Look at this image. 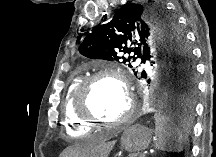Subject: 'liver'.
Masks as SVG:
<instances>
[{
	"label": "liver",
	"instance_id": "6515ba94",
	"mask_svg": "<svg viewBox=\"0 0 216 157\" xmlns=\"http://www.w3.org/2000/svg\"><path fill=\"white\" fill-rule=\"evenodd\" d=\"M110 144L104 140L89 141L84 144H76L68 147L60 154V157H104L108 155Z\"/></svg>",
	"mask_w": 216,
	"mask_h": 157
}]
</instances>
